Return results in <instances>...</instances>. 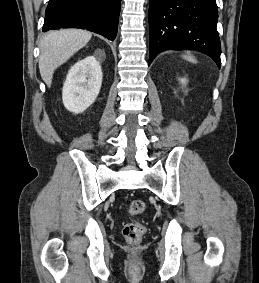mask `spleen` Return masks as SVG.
I'll list each match as a JSON object with an SVG mask.
<instances>
[{"mask_svg":"<svg viewBox=\"0 0 259 283\" xmlns=\"http://www.w3.org/2000/svg\"><path fill=\"white\" fill-rule=\"evenodd\" d=\"M183 58L190 61V62L196 63V60L192 56L185 55V56H183Z\"/></svg>","mask_w":259,"mask_h":283,"instance_id":"spleen-1","label":"spleen"}]
</instances>
